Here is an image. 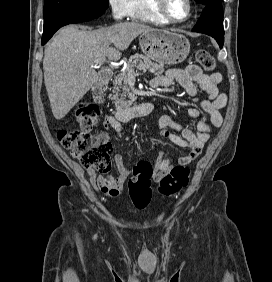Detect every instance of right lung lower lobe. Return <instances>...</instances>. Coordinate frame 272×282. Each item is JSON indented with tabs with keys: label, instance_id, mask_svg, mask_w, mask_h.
Returning a JSON list of instances; mask_svg holds the SVG:
<instances>
[{
	"label": "right lung lower lobe",
	"instance_id": "right-lung-lower-lobe-1",
	"mask_svg": "<svg viewBox=\"0 0 272 282\" xmlns=\"http://www.w3.org/2000/svg\"><path fill=\"white\" fill-rule=\"evenodd\" d=\"M103 13L104 10L101 9H78L56 13L45 18L42 45H44L60 27L69 23L89 21L101 16Z\"/></svg>",
	"mask_w": 272,
	"mask_h": 282
}]
</instances>
